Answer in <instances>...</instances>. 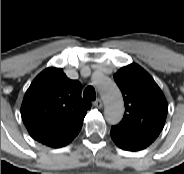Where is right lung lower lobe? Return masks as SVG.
<instances>
[{"mask_svg": "<svg viewBox=\"0 0 184 174\" xmlns=\"http://www.w3.org/2000/svg\"><path fill=\"white\" fill-rule=\"evenodd\" d=\"M73 139H74V138H73ZM73 139H72V140H73ZM72 140H71V141H72ZM71 141H70V142H71ZM70 142H68L67 144H69ZM67 144H65V145H67ZM65 145H64V146H65Z\"/></svg>", "mask_w": 184, "mask_h": 174, "instance_id": "98d812e1", "label": "right lung lower lobe"}]
</instances>
